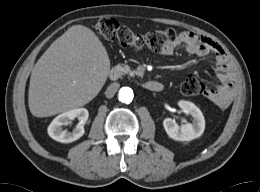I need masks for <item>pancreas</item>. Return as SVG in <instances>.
Returning <instances> with one entry per match:
<instances>
[{"label":"pancreas","instance_id":"1","mask_svg":"<svg viewBox=\"0 0 260 192\" xmlns=\"http://www.w3.org/2000/svg\"><path fill=\"white\" fill-rule=\"evenodd\" d=\"M123 75L129 74L130 76L138 75L140 76L141 73L137 70H131L129 65H118Z\"/></svg>","mask_w":260,"mask_h":192}]
</instances>
